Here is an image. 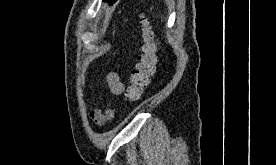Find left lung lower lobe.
I'll return each instance as SVG.
<instances>
[{"instance_id":"obj_1","label":"left lung lower lobe","mask_w":276,"mask_h":165,"mask_svg":"<svg viewBox=\"0 0 276 165\" xmlns=\"http://www.w3.org/2000/svg\"><path fill=\"white\" fill-rule=\"evenodd\" d=\"M104 1H108L110 4H113L116 0H104Z\"/></svg>"}]
</instances>
